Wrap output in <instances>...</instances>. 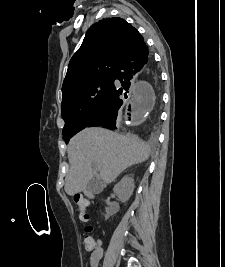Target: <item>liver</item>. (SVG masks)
<instances>
[{"instance_id": "6515ba94", "label": "liver", "mask_w": 225, "mask_h": 267, "mask_svg": "<svg viewBox=\"0 0 225 267\" xmlns=\"http://www.w3.org/2000/svg\"><path fill=\"white\" fill-rule=\"evenodd\" d=\"M67 152L70 170L65 179V191L73 196L88 188L94 176L93 163L97 165L98 177L108 184L126 168L146 161L150 148L137 136L86 128L70 140Z\"/></svg>"}]
</instances>
